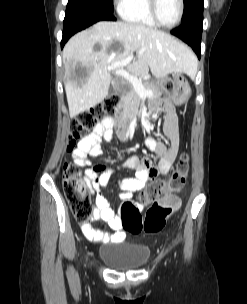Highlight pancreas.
Segmentation results:
<instances>
[{"instance_id": "cf45deb5", "label": "pancreas", "mask_w": 247, "mask_h": 304, "mask_svg": "<svg viewBox=\"0 0 247 304\" xmlns=\"http://www.w3.org/2000/svg\"><path fill=\"white\" fill-rule=\"evenodd\" d=\"M144 87L153 92L152 98H158L162 94L159 85L155 82H144ZM140 101V95L134 89H131L128 93L122 96L120 106H123V110L126 113L135 115L138 113Z\"/></svg>"}]
</instances>
